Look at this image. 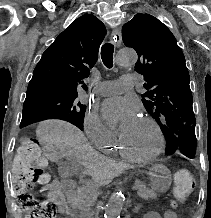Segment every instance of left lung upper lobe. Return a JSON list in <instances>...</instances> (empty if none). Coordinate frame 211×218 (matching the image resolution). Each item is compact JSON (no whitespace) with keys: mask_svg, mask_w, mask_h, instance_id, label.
<instances>
[{"mask_svg":"<svg viewBox=\"0 0 211 218\" xmlns=\"http://www.w3.org/2000/svg\"><path fill=\"white\" fill-rule=\"evenodd\" d=\"M123 42L138 54L137 73L144 77L141 96L147 112L166 139L165 154H196L195 115L185 57L172 32L150 14H136L122 28Z\"/></svg>","mask_w":211,"mask_h":218,"instance_id":"left-lung-upper-lobe-1","label":"left lung upper lobe"}]
</instances>
